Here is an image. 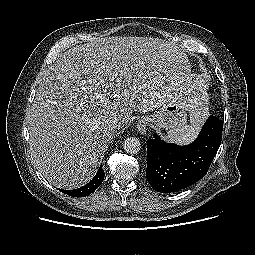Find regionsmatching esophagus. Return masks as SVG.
Segmentation results:
<instances>
[{
  "mask_svg": "<svg viewBox=\"0 0 255 255\" xmlns=\"http://www.w3.org/2000/svg\"><path fill=\"white\" fill-rule=\"evenodd\" d=\"M148 126H149V119L147 117H143L139 120L137 124V129L142 135H145L147 133Z\"/></svg>",
  "mask_w": 255,
  "mask_h": 255,
  "instance_id": "34e87169",
  "label": "esophagus"
}]
</instances>
